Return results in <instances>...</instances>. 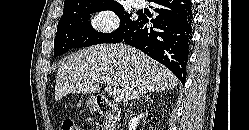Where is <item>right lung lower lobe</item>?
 <instances>
[{"label": "right lung lower lobe", "mask_w": 249, "mask_h": 130, "mask_svg": "<svg viewBox=\"0 0 249 130\" xmlns=\"http://www.w3.org/2000/svg\"><path fill=\"white\" fill-rule=\"evenodd\" d=\"M158 16L150 21L140 15L137 22L119 40L131 45L171 70L184 84L189 46L192 38V3L190 0H153ZM118 41V42H119Z\"/></svg>", "instance_id": "right-lung-lower-lobe-1"}]
</instances>
